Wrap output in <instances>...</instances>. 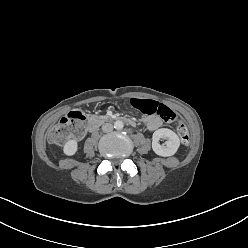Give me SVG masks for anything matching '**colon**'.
Returning a JSON list of instances; mask_svg holds the SVG:
<instances>
[{
    "instance_id": "colon-1",
    "label": "colon",
    "mask_w": 248,
    "mask_h": 248,
    "mask_svg": "<svg viewBox=\"0 0 248 248\" xmlns=\"http://www.w3.org/2000/svg\"><path fill=\"white\" fill-rule=\"evenodd\" d=\"M131 105L147 115H158L165 122H175V112L164 104L150 99L132 98ZM85 129V115L80 111H72L65 115L49 132V140L53 144H61L70 138H78ZM181 142L185 145L190 142V134L187 127L180 123L177 127Z\"/></svg>"
}]
</instances>
